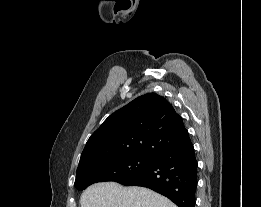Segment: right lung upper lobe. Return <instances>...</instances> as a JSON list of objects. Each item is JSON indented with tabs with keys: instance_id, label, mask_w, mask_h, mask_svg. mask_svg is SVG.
I'll use <instances>...</instances> for the list:
<instances>
[{
	"instance_id": "cb5924a9",
	"label": "right lung upper lobe",
	"mask_w": 261,
	"mask_h": 207,
	"mask_svg": "<svg viewBox=\"0 0 261 207\" xmlns=\"http://www.w3.org/2000/svg\"><path fill=\"white\" fill-rule=\"evenodd\" d=\"M190 141L182 118L173 106L164 97L147 93L102 123L88 139L78 168L129 155L155 158Z\"/></svg>"
}]
</instances>
